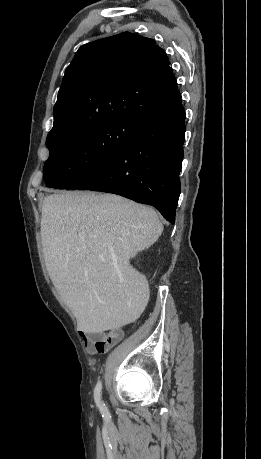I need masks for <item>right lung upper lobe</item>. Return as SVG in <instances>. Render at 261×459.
Returning a JSON list of instances; mask_svg holds the SVG:
<instances>
[{
  "label": "right lung upper lobe",
  "instance_id": "1",
  "mask_svg": "<svg viewBox=\"0 0 261 459\" xmlns=\"http://www.w3.org/2000/svg\"><path fill=\"white\" fill-rule=\"evenodd\" d=\"M181 102L169 59L153 39L124 32L83 45L66 68L48 135L115 120L145 124Z\"/></svg>",
  "mask_w": 261,
  "mask_h": 459
}]
</instances>
